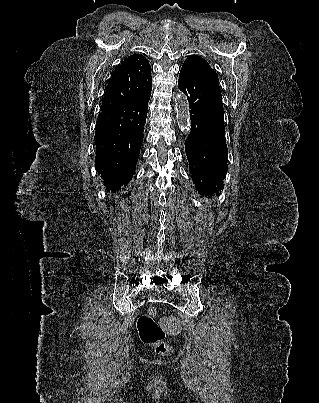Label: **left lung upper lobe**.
<instances>
[{"label": "left lung upper lobe", "instance_id": "1", "mask_svg": "<svg viewBox=\"0 0 319 403\" xmlns=\"http://www.w3.org/2000/svg\"><path fill=\"white\" fill-rule=\"evenodd\" d=\"M182 67L189 68L201 76H205L213 81L219 82L217 74L209 66L208 62L201 57L190 55Z\"/></svg>", "mask_w": 319, "mask_h": 403}]
</instances>
